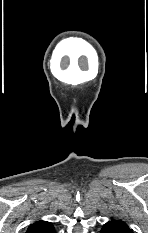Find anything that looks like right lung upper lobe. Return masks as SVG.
Listing matches in <instances>:
<instances>
[{
    "label": "right lung upper lobe",
    "mask_w": 148,
    "mask_h": 233,
    "mask_svg": "<svg viewBox=\"0 0 148 233\" xmlns=\"http://www.w3.org/2000/svg\"><path fill=\"white\" fill-rule=\"evenodd\" d=\"M26 233H55V230L51 222L41 220L31 224Z\"/></svg>",
    "instance_id": "right-lung-upper-lobe-1"
}]
</instances>
